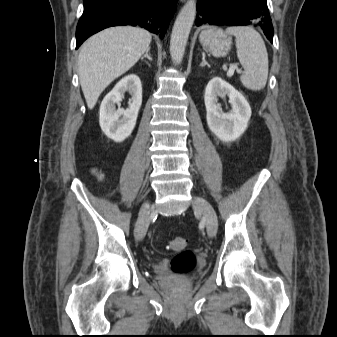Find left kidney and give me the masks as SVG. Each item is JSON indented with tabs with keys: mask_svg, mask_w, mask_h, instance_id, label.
Returning a JSON list of instances; mask_svg holds the SVG:
<instances>
[{
	"mask_svg": "<svg viewBox=\"0 0 337 337\" xmlns=\"http://www.w3.org/2000/svg\"><path fill=\"white\" fill-rule=\"evenodd\" d=\"M229 97L231 110L224 113L217 103V97ZM204 101L206 119L210 130L223 142L239 138L247 129L251 108L245 97L220 77L209 81L205 89Z\"/></svg>",
	"mask_w": 337,
	"mask_h": 337,
	"instance_id": "5707ae66",
	"label": "left kidney"
}]
</instances>
